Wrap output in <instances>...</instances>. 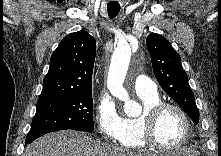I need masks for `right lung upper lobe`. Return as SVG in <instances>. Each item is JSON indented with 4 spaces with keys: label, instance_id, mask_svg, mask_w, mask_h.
I'll list each match as a JSON object with an SVG mask.
<instances>
[{
    "label": "right lung upper lobe",
    "instance_id": "right-lung-upper-lobe-1",
    "mask_svg": "<svg viewBox=\"0 0 221 156\" xmlns=\"http://www.w3.org/2000/svg\"><path fill=\"white\" fill-rule=\"evenodd\" d=\"M96 41L86 31L64 37L51 55L40 98L91 90Z\"/></svg>",
    "mask_w": 221,
    "mask_h": 156
}]
</instances>
